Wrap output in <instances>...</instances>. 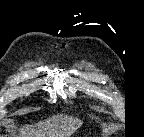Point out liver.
<instances>
[{"label":"liver","instance_id":"obj_1","mask_svg":"<svg viewBox=\"0 0 144 137\" xmlns=\"http://www.w3.org/2000/svg\"><path fill=\"white\" fill-rule=\"evenodd\" d=\"M82 122L72 116L57 114L36 123L26 125L21 129V137H70Z\"/></svg>","mask_w":144,"mask_h":137}]
</instances>
